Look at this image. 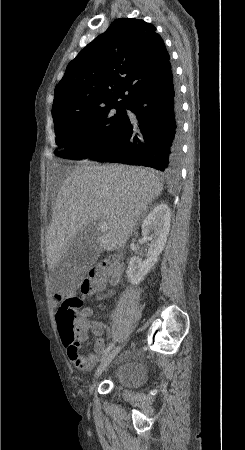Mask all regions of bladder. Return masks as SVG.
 Returning a JSON list of instances; mask_svg holds the SVG:
<instances>
[{
    "instance_id": "obj_1",
    "label": "bladder",
    "mask_w": 245,
    "mask_h": 450,
    "mask_svg": "<svg viewBox=\"0 0 245 450\" xmlns=\"http://www.w3.org/2000/svg\"><path fill=\"white\" fill-rule=\"evenodd\" d=\"M145 373L146 369L141 362L129 360L117 367L113 383L121 389H135L142 384Z\"/></svg>"
}]
</instances>
